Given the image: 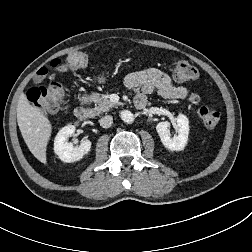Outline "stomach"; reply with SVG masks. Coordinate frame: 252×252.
I'll return each instance as SVG.
<instances>
[{"instance_id":"0dacf381","label":"stomach","mask_w":252,"mask_h":252,"mask_svg":"<svg viewBox=\"0 0 252 252\" xmlns=\"http://www.w3.org/2000/svg\"><path fill=\"white\" fill-rule=\"evenodd\" d=\"M105 77L103 76V75H100V76H98L97 77V81L99 82V83H104L105 82Z\"/></svg>"}]
</instances>
